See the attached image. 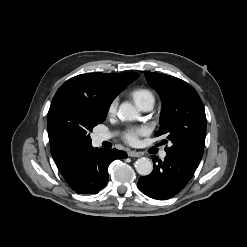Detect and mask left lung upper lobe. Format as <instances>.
<instances>
[{"label":"left lung upper lobe","instance_id":"left-lung-upper-lobe-1","mask_svg":"<svg viewBox=\"0 0 247 247\" xmlns=\"http://www.w3.org/2000/svg\"><path fill=\"white\" fill-rule=\"evenodd\" d=\"M145 77L162 100L160 128L155 135H166L172 143L165 148L166 153L200 163L206 115L198 93L187 82L173 76L146 72Z\"/></svg>","mask_w":247,"mask_h":247}]
</instances>
